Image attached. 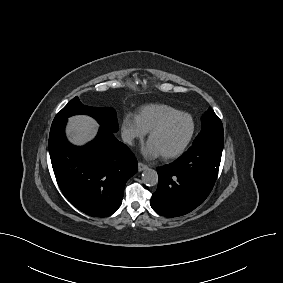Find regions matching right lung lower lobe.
Masks as SVG:
<instances>
[{"instance_id":"1","label":"right lung lower lobe","mask_w":283,"mask_h":283,"mask_svg":"<svg viewBox=\"0 0 283 283\" xmlns=\"http://www.w3.org/2000/svg\"><path fill=\"white\" fill-rule=\"evenodd\" d=\"M66 118L54 119L49 153L57 183L73 206L93 217L112 215L121 205L126 181L137 160L113 132L100 127L97 137L77 147L64 133Z\"/></svg>"}]
</instances>
